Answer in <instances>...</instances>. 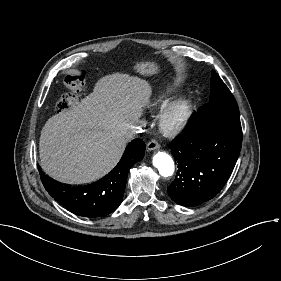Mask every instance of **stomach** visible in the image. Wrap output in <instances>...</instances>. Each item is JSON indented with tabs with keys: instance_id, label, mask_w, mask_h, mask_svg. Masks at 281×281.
Returning a JSON list of instances; mask_svg holds the SVG:
<instances>
[{
	"instance_id": "0dacf381",
	"label": "stomach",
	"mask_w": 281,
	"mask_h": 281,
	"mask_svg": "<svg viewBox=\"0 0 281 281\" xmlns=\"http://www.w3.org/2000/svg\"><path fill=\"white\" fill-rule=\"evenodd\" d=\"M134 69L142 75H153L159 72L158 65L153 62H139Z\"/></svg>"
}]
</instances>
